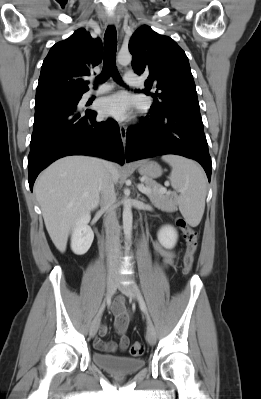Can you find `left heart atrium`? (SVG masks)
I'll list each match as a JSON object with an SVG mask.
<instances>
[{
	"label": "left heart atrium",
	"instance_id": "obj_1",
	"mask_svg": "<svg viewBox=\"0 0 261 399\" xmlns=\"http://www.w3.org/2000/svg\"><path fill=\"white\" fill-rule=\"evenodd\" d=\"M130 99L125 93H116L102 98L98 110L104 116L124 120L130 115Z\"/></svg>",
	"mask_w": 261,
	"mask_h": 399
}]
</instances>
